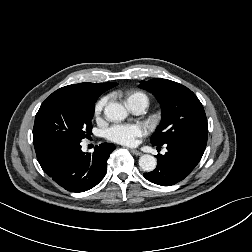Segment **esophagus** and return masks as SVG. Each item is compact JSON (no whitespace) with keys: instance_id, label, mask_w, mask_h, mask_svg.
I'll return each instance as SVG.
<instances>
[{"instance_id":"esophagus-1","label":"esophagus","mask_w":252,"mask_h":252,"mask_svg":"<svg viewBox=\"0 0 252 252\" xmlns=\"http://www.w3.org/2000/svg\"><path fill=\"white\" fill-rule=\"evenodd\" d=\"M131 153L136 155V156H141L142 155V152L136 150V149H130Z\"/></svg>"}]
</instances>
